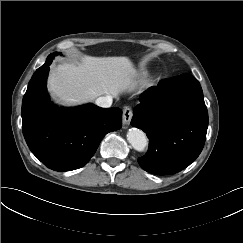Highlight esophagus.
Instances as JSON below:
<instances>
[{
  "label": "esophagus",
  "instance_id": "esophagus-1",
  "mask_svg": "<svg viewBox=\"0 0 243 243\" xmlns=\"http://www.w3.org/2000/svg\"><path fill=\"white\" fill-rule=\"evenodd\" d=\"M132 116H133L132 109L130 107H125L123 109V116H122L123 124L129 125L131 122Z\"/></svg>",
  "mask_w": 243,
  "mask_h": 243
}]
</instances>
